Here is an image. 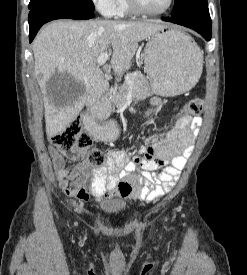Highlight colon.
Returning a JSON list of instances; mask_svg holds the SVG:
<instances>
[{
    "label": "colon",
    "instance_id": "1",
    "mask_svg": "<svg viewBox=\"0 0 247 275\" xmlns=\"http://www.w3.org/2000/svg\"><path fill=\"white\" fill-rule=\"evenodd\" d=\"M203 107V100L196 97L187 102L184 112L187 115H199ZM50 141L71 160L85 159L95 168H100L105 163L104 154L100 149L92 147V139L84 132L79 119H75L64 130L53 135ZM130 190L128 184L120 183L118 186V192L122 195L128 194Z\"/></svg>",
    "mask_w": 247,
    "mask_h": 275
}]
</instances>
